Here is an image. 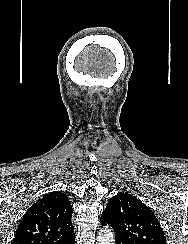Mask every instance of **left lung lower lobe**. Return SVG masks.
I'll use <instances>...</instances> for the list:
<instances>
[{
  "mask_svg": "<svg viewBox=\"0 0 188 244\" xmlns=\"http://www.w3.org/2000/svg\"><path fill=\"white\" fill-rule=\"evenodd\" d=\"M101 225H102V226H105V225H106V223L101 222Z\"/></svg>",
  "mask_w": 188,
  "mask_h": 244,
  "instance_id": "0a47b994",
  "label": "left lung lower lobe"
}]
</instances>
